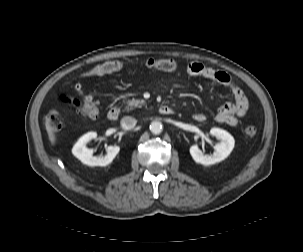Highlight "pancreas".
Returning <instances> with one entry per match:
<instances>
[{
	"instance_id": "obj_1",
	"label": "pancreas",
	"mask_w": 303,
	"mask_h": 252,
	"mask_svg": "<svg viewBox=\"0 0 303 252\" xmlns=\"http://www.w3.org/2000/svg\"><path fill=\"white\" fill-rule=\"evenodd\" d=\"M145 102L143 100L138 99H131L127 101V109H130L131 107H138L143 105Z\"/></svg>"
}]
</instances>
